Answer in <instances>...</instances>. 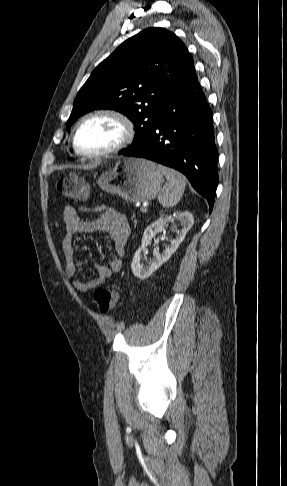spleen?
<instances>
[{"mask_svg":"<svg viewBox=\"0 0 287 486\" xmlns=\"http://www.w3.org/2000/svg\"><path fill=\"white\" fill-rule=\"evenodd\" d=\"M163 175L166 177V184L158 194V200L165 208H171L178 204L185 191L186 179L178 171L159 165Z\"/></svg>","mask_w":287,"mask_h":486,"instance_id":"spleen-1","label":"spleen"}]
</instances>
